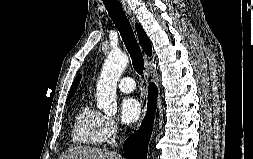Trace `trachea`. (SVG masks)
<instances>
[{
    "label": "trachea",
    "instance_id": "1",
    "mask_svg": "<svg viewBox=\"0 0 253 159\" xmlns=\"http://www.w3.org/2000/svg\"><path fill=\"white\" fill-rule=\"evenodd\" d=\"M104 5L120 32L126 49L132 59L134 69L139 75H142L144 70V58L121 3L118 0H104Z\"/></svg>",
    "mask_w": 253,
    "mask_h": 159
}]
</instances>
